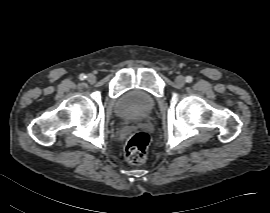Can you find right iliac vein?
Returning a JSON list of instances; mask_svg holds the SVG:
<instances>
[{
    "label": "right iliac vein",
    "instance_id": "obj_1",
    "mask_svg": "<svg viewBox=\"0 0 270 213\" xmlns=\"http://www.w3.org/2000/svg\"><path fill=\"white\" fill-rule=\"evenodd\" d=\"M87 81H88L89 83H91V84L95 83V82H96V77H95V75H93V74H88V76H87Z\"/></svg>",
    "mask_w": 270,
    "mask_h": 213
}]
</instances>
